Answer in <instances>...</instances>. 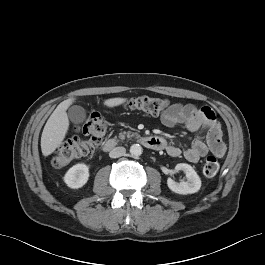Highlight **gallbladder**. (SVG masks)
Wrapping results in <instances>:
<instances>
[{"label": "gallbladder", "instance_id": "obj_1", "mask_svg": "<svg viewBox=\"0 0 265 265\" xmlns=\"http://www.w3.org/2000/svg\"><path fill=\"white\" fill-rule=\"evenodd\" d=\"M69 119L75 123L80 124L86 119V112L81 106H72L68 110Z\"/></svg>", "mask_w": 265, "mask_h": 265}]
</instances>
